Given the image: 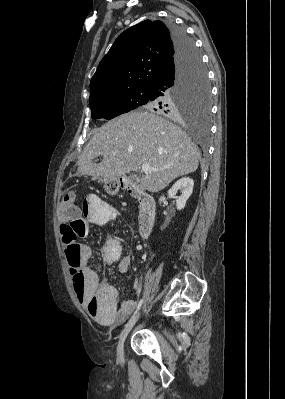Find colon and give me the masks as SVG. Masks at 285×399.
Instances as JSON below:
<instances>
[{
  "label": "colon",
  "mask_w": 285,
  "mask_h": 399,
  "mask_svg": "<svg viewBox=\"0 0 285 399\" xmlns=\"http://www.w3.org/2000/svg\"><path fill=\"white\" fill-rule=\"evenodd\" d=\"M114 190V187H111ZM81 204L76 200L74 190H69L59 206L60 234L63 243L66 245L65 253L71 265L72 288L74 293L80 292L84 286L83 272L79 268L80 253L77 241L80 238V229L84 223L80 217ZM111 252V249L108 250ZM114 251L119 253V245H116ZM100 301H94L93 306H99Z\"/></svg>",
  "instance_id": "5ec220e1"
}]
</instances>
